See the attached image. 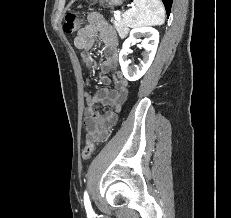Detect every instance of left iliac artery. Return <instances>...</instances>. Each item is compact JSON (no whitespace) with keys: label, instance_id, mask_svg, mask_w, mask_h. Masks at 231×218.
<instances>
[{"label":"left iliac artery","instance_id":"left-iliac-artery-1","mask_svg":"<svg viewBox=\"0 0 231 218\" xmlns=\"http://www.w3.org/2000/svg\"><path fill=\"white\" fill-rule=\"evenodd\" d=\"M84 205H85L87 214H92L93 210H92L91 203H90L87 192L84 193Z\"/></svg>","mask_w":231,"mask_h":218}]
</instances>
